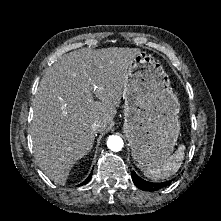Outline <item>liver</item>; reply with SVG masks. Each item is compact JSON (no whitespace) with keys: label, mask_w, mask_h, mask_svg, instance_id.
Instances as JSON below:
<instances>
[{"label":"liver","mask_w":221,"mask_h":221,"mask_svg":"<svg viewBox=\"0 0 221 221\" xmlns=\"http://www.w3.org/2000/svg\"><path fill=\"white\" fill-rule=\"evenodd\" d=\"M137 48H84L46 70L33 100L30 135L40 169L64 185L73 165L93 147L116 115ZM94 97L97 99L95 100ZM101 123L98 131L92 124Z\"/></svg>","instance_id":"1"}]
</instances>
